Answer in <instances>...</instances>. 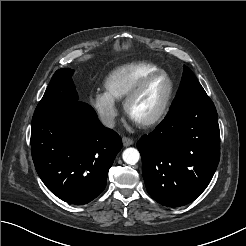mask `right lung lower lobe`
Listing matches in <instances>:
<instances>
[{
  "label": "right lung lower lobe",
  "instance_id": "98d812e1",
  "mask_svg": "<svg viewBox=\"0 0 246 246\" xmlns=\"http://www.w3.org/2000/svg\"><path fill=\"white\" fill-rule=\"evenodd\" d=\"M122 147L93 108L77 101L62 113L32 118L31 152L38 175L61 200L77 205L95 199Z\"/></svg>",
  "mask_w": 246,
  "mask_h": 246
}]
</instances>
